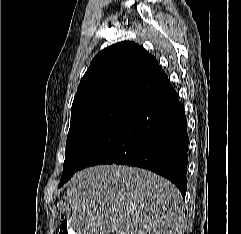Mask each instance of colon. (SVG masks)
<instances>
[{"instance_id": "colon-1", "label": "colon", "mask_w": 241, "mask_h": 234, "mask_svg": "<svg viewBox=\"0 0 241 234\" xmlns=\"http://www.w3.org/2000/svg\"><path fill=\"white\" fill-rule=\"evenodd\" d=\"M59 234H72L71 229L65 219H62L59 226Z\"/></svg>"}]
</instances>
